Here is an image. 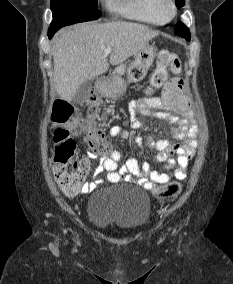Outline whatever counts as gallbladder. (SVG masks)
<instances>
[{
	"label": "gallbladder",
	"mask_w": 233,
	"mask_h": 284,
	"mask_svg": "<svg viewBox=\"0 0 233 284\" xmlns=\"http://www.w3.org/2000/svg\"><path fill=\"white\" fill-rule=\"evenodd\" d=\"M91 91L92 82L90 80L83 82L73 98L74 103L83 104L90 97Z\"/></svg>",
	"instance_id": "1"
}]
</instances>
